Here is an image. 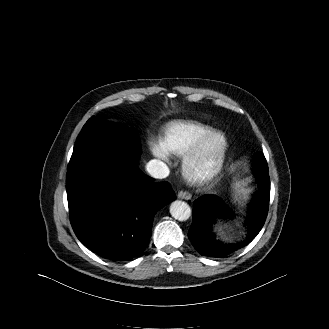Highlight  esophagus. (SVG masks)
<instances>
[{
  "label": "esophagus",
  "instance_id": "obj_1",
  "mask_svg": "<svg viewBox=\"0 0 329 329\" xmlns=\"http://www.w3.org/2000/svg\"><path fill=\"white\" fill-rule=\"evenodd\" d=\"M177 196L179 199H184V200H190L192 197V195L187 191H179Z\"/></svg>",
  "mask_w": 329,
  "mask_h": 329
}]
</instances>
